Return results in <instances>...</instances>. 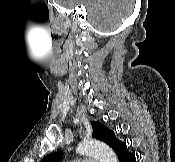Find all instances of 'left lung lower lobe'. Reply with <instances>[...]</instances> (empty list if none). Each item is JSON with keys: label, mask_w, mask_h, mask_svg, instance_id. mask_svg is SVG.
<instances>
[{"label": "left lung lower lobe", "mask_w": 175, "mask_h": 162, "mask_svg": "<svg viewBox=\"0 0 175 162\" xmlns=\"http://www.w3.org/2000/svg\"><path fill=\"white\" fill-rule=\"evenodd\" d=\"M112 148L115 150L120 162H136L135 156L127 151L126 143L117 140Z\"/></svg>", "instance_id": "obj_1"}]
</instances>
